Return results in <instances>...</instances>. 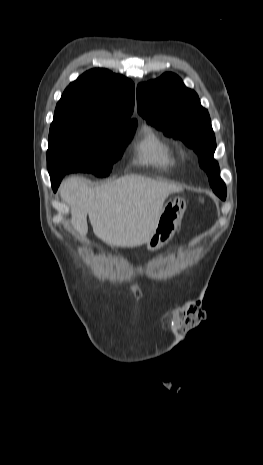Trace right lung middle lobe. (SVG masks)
<instances>
[{"instance_id": "obj_1", "label": "right lung middle lobe", "mask_w": 263, "mask_h": 465, "mask_svg": "<svg viewBox=\"0 0 263 465\" xmlns=\"http://www.w3.org/2000/svg\"><path fill=\"white\" fill-rule=\"evenodd\" d=\"M136 126V120L82 111H55L47 151L50 176L77 171L101 177L109 175Z\"/></svg>"}]
</instances>
